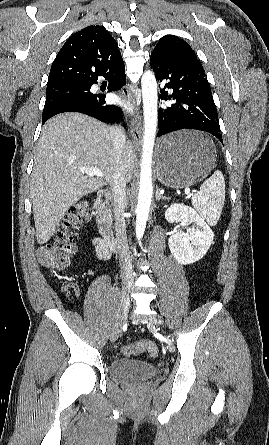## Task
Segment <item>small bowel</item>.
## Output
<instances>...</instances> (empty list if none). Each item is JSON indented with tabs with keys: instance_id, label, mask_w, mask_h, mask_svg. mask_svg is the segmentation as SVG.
<instances>
[{
	"instance_id": "1",
	"label": "small bowel",
	"mask_w": 269,
	"mask_h": 445,
	"mask_svg": "<svg viewBox=\"0 0 269 445\" xmlns=\"http://www.w3.org/2000/svg\"><path fill=\"white\" fill-rule=\"evenodd\" d=\"M94 244L98 257L102 260H107L110 256V253L104 242L100 238H96Z\"/></svg>"
}]
</instances>
